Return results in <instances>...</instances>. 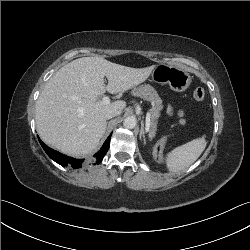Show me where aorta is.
<instances>
[{"instance_id": "1", "label": "aorta", "mask_w": 250, "mask_h": 250, "mask_svg": "<svg viewBox=\"0 0 250 250\" xmlns=\"http://www.w3.org/2000/svg\"><path fill=\"white\" fill-rule=\"evenodd\" d=\"M137 120L133 116H129L124 119L123 125L125 128L133 129L136 126Z\"/></svg>"}]
</instances>
